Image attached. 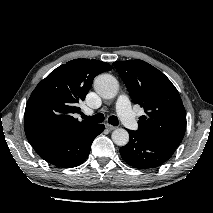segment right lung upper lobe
<instances>
[{"instance_id":"right-lung-upper-lobe-1","label":"right lung upper lobe","mask_w":213,"mask_h":213,"mask_svg":"<svg viewBox=\"0 0 213 213\" xmlns=\"http://www.w3.org/2000/svg\"><path fill=\"white\" fill-rule=\"evenodd\" d=\"M111 69L106 62L75 59L53 70L36 86L27 102V139L63 140L93 125L78 121L73 114L80 112L77 104L85 99L93 79Z\"/></svg>"}]
</instances>
